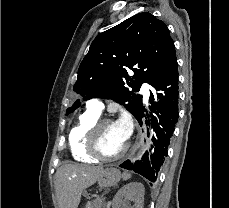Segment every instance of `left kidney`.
Instances as JSON below:
<instances>
[{
  "label": "left kidney",
  "mask_w": 229,
  "mask_h": 208,
  "mask_svg": "<svg viewBox=\"0 0 229 208\" xmlns=\"http://www.w3.org/2000/svg\"><path fill=\"white\" fill-rule=\"evenodd\" d=\"M144 194L145 188L143 184H139V182L126 184L117 192L113 200V208H132L127 200L135 202L136 208H143Z\"/></svg>",
  "instance_id": "5707ae66"
}]
</instances>
